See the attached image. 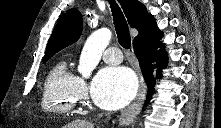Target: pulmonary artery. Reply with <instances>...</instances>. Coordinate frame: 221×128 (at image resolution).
Wrapping results in <instances>:
<instances>
[{"instance_id":"1","label":"pulmonary artery","mask_w":221,"mask_h":128,"mask_svg":"<svg viewBox=\"0 0 221 128\" xmlns=\"http://www.w3.org/2000/svg\"><path fill=\"white\" fill-rule=\"evenodd\" d=\"M103 60L108 64H119L122 61V53L116 46L109 47L103 54Z\"/></svg>"}]
</instances>
